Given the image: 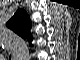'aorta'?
Listing matches in <instances>:
<instances>
[{"label": "aorta", "mask_w": 80, "mask_h": 60, "mask_svg": "<svg viewBox=\"0 0 80 60\" xmlns=\"http://www.w3.org/2000/svg\"><path fill=\"white\" fill-rule=\"evenodd\" d=\"M3 37H6L7 41L5 45L10 47L14 53H19L27 49L25 41L13 34L5 33Z\"/></svg>", "instance_id": "1"}]
</instances>
